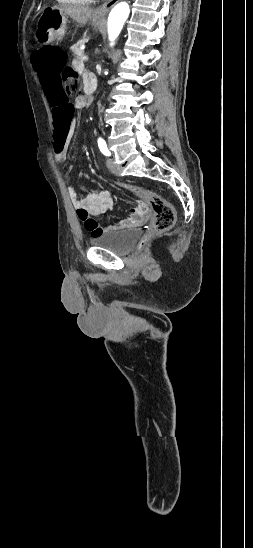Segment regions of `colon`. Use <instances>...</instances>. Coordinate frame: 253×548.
I'll list each match as a JSON object with an SVG mask.
<instances>
[{
    "mask_svg": "<svg viewBox=\"0 0 253 548\" xmlns=\"http://www.w3.org/2000/svg\"><path fill=\"white\" fill-rule=\"evenodd\" d=\"M66 59V54L61 49L51 46L43 47L33 53V63L40 72L43 94L47 96V104L52 105L55 149H62L63 141L68 137V133L73 131L74 113L71 96L77 95L80 88L77 73L66 67ZM112 180L117 182L119 179L114 177ZM122 187L152 207L154 211L153 233H163L172 229L176 215L169 202L139 186L122 184ZM149 238L150 235L145 236L140 242V247H143Z\"/></svg>",
    "mask_w": 253,
    "mask_h": 548,
    "instance_id": "5ec220e1",
    "label": "colon"
}]
</instances>
